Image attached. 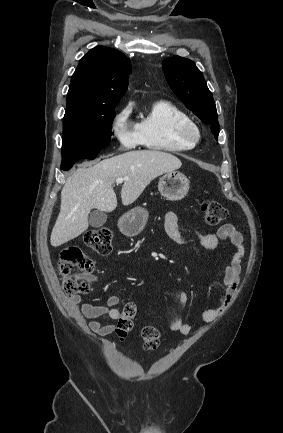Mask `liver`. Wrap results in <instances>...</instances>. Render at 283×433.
Returning <instances> with one entry per match:
<instances>
[{"label": "liver", "mask_w": 283, "mask_h": 433, "mask_svg": "<svg viewBox=\"0 0 283 433\" xmlns=\"http://www.w3.org/2000/svg\"><path fill=\"white\" fill-rule=\"evenodd\" d=\"M93 164V166H92ZM182 162L162 150H129L100 162H83L68 176L61 190L58 219L51 233L52 247L76 239L89 227L91 208L112 212L117 206L113 184L116 178L129 176L121 188L123 204H132L147 184L164 174L180 168Z\"/></svg>", "instance_id": "liver-1"}]
</instances>
